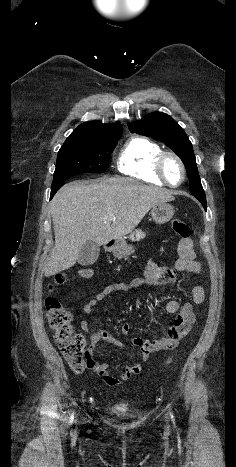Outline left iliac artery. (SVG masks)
Returning a JSON list of instances; mask_svg holds the SVG:
<instances>
[{
  "mask_svg": "<svg viewBox=\"0 0 236 467\" xmlns=\"http://www.w3.org/2000/svg\"><path fill=\"white\" fill-rule=\"evenodd\" d=\"M171 418L173 419V415L171 414Z\"/></svg>",
  "mask_w": 236,
  "mask_h": 467,
  "instance_id": "left-iliac-artery-1",
  "label": "left iliac artery"
}]
</instances>
